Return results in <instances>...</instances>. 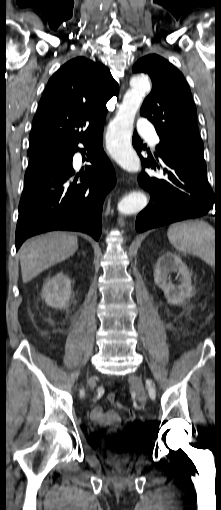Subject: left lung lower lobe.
<instances>
[{
  "instance_id": "left-lung-lower-lobe-1",
  "label": "left lung lower lobe",
  "mask_w": 221,
  "mask_h": 510,
  "mask_svg": "<svg viewBox=\"0 0 221 510\" xmlns=\"http://www.w3.org/2000/svg\"><path fill=\"white\" fill-rule=\"evenodd\" d=\"M132 143L139 154L142 165L155 169V161L151 162L140 154L142 141L134 132ZM161 158V168L165 178L149 176L144 171L139 175L138 182L146 189L151 200L149 205L136 218V231L146 230L206 215L216 203L213 191L207 181L206 170L196 168L186 162L169 158ZM221 243V228H218ZM221 245V244H220Z\"/></svg>"
}]
</instances>
